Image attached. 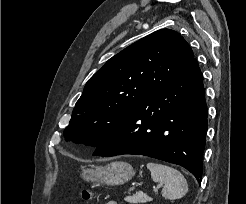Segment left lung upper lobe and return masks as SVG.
Returning a JSON list of instances; mask_svg holds the SVG:
<instances>
[{
    "label": "left lung upper lobe",
    "mask_w": 246,
    "mask_h": 204,
    "mask_svg": "<svg viewBox=\"0 0 246 204\" xmlns=\"http://www.w3.org/2000/svg\"><path fill=\"white\" fill-rule=\"evenodd\" d=\"M193 58L188 43L170 29L153 32L128 46L88 80L64 136L97 147L123 118Z\"/></svg>",
    "instance_id": "5c2ea615"
}]
</instances>
